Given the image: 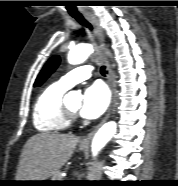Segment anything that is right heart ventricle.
<instances>
[{
	"mask_svg": "<svg viewBox=\"0 0 178 186\" xmlns=\"http://www.w3.org/2000/svg\"><path fill=\"white\" fill-rule=\"evenodd\" d=\"M66 91L67 88L54 83L38 96L33 107V124L38 131L58 133L67 128L62 117L63 96Z\"/></svg>",
	"mask_w": 178,
	"mask_h": 186,
	"instance_id": "e07e8e85",
	"label": "right heart ventricle"
}]
</instances>
